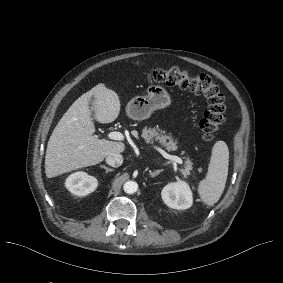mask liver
I'll return each instance as SVG.
<instances>
[{"instance_id": "obj_1", "label": "liver", "mask_w": 283, "mask_h": 283, "mask_svg": "<svg viewBox=\"0 0 283 283\" xmlns=\"http://www.w3.org/2000/svg\"><path fill=\"white\" fill-rule=\"evenodd\" d=\"M98 104L96 119L111 122L119 113L117 95L99 84L78 97L54 128L46 149L45 172L53 177L69 170L95 165L112 153L122 152V143L100 139L91 120L89 101Z\"/></svg>"}]
</instances>
